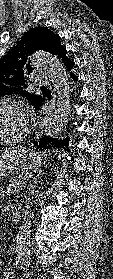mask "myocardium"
Wrapping results in <instances>:
<instances>
[{
  "instance_id": "obj_1",
  "label": "myocardium",
  "mask_w": 113,
  "mask_h": 279,
  "mask_svg": "<svg viewBox=\"0 0 113 279\" xmlns=\"http://www.w3.org/2000/svg\"><path fill=\"white\" fill-rule=\"evenodd\" d=\"M3 104H9V105H13V106L20 108L26 114L27 121H26L25 129L21 134H19L17 136H12V137H1L0 144H9V143L20 142L24 138H26V136L29 134V131H30V125L28 122V108L23 101L17 100V99H12V98L0 99V105H3Z\"/></svg>"
}]
</instances>
